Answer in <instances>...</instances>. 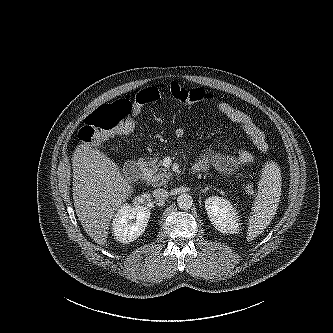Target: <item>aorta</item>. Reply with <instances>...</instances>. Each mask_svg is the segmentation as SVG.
Instances as JSON below:
<instances>
[{
    "mask_svg": "<svg viewBox=\"0 0 333 333\" xmlns=\"http://www.w3.org/2000/svg\"><path fill=\"white\" fill-rule=\"evenodd\" d=\"M177 203L179 208H181L182 210H188L192 207L193 198L191 195L183 193L178 196Z\"/></svg>",
    "mask_w": 333,
    "mask_h": 333,
    "instance_id": "aorta-1",
    "label": "aorta"
}]
</instances>
